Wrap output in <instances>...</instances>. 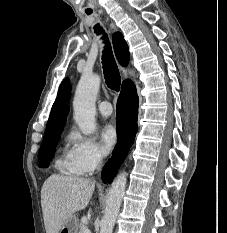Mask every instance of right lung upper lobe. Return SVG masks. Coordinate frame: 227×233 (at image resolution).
Returning a JSON list of instances; mask_svg holds the SVG:
<instances>
[{
	"mask_svg": "<svg viewBox=\"0 0 227 233\" xmlns=\"http://www.w3.org/2000/svg\"><path fill=\"white\" fill-rule=\"evenodd\" d=\"M113 46L116 57L122 66H126L129 62L128 45L125 42L123 35L116 32L113 35ZM127 81V80H126ZM126 81L123 82L122 87L126 86ZM71 85L69 79L66 78L60 85L57 98L52 106L50 117L46 126L44 138H49L58 133H61L69 111Z\"/></svg>",
	"mask_w": 227,
	"mask_h": 233,
	"instance_id": "1",
	"label": "right lung upper lobe"
}]
</instances>
